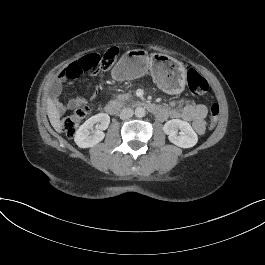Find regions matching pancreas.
Returning a JSON list of instances; mask_svg holds the SVG:
<instances>
[{
  "label": "pancreas",
  "instance_id": "pancreas-1",
  "mask_svg": "<svg viewBox=\"0 0 265 265\" xmlns=\"http://www.w3.org/2000/svg\"><path fill=\"white\" fill-rule=\"evenodd\" d=\"M134 99V95L130 93H124L117 96V100H121L123 102H126V100H132Z\"/></svg>",
  "mask_w": 265,
  "mask_h": 265
}]
</instances>
